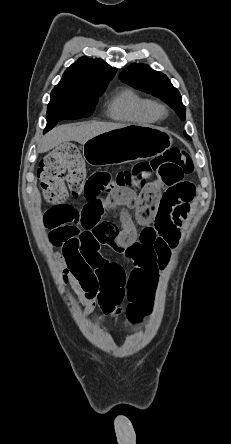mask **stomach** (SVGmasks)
<instances>
[{
	"instance_id": "0dacf381",
	"label": "stomach",
	"mask_w": 231,
	"mask_h": 444,
	"mask_svg": "<svg viewBox=\"0 0 231 444\" xmlns=\"http://www.w3.org/2000/svg\"><path fill=\"white\" fill-rule=\"evenodd\" d=\"M163 128L127 125L99 134L83 144V159L90 165L123 164L163 154L172 145Z\"/></svg>"
}]
</instances>
